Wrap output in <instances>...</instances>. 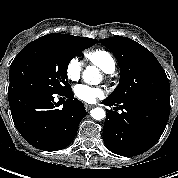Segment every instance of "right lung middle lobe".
Segmentation results:
<instances>
[{
  "label": "right lung middle lobe",
  "instance_id": "1",
  "mask_svg": "<svg viewBox=\"0 0 178 178\" xmlns=\"http://www.w3.org/2000/svg\"><path fill=\"white\" fill-rule=\"evenodd\" d=\"M95 43L86 37H40L30 42L10 66L8 93L20 90L61 93L71 89L66 80L70 60Z\"/></svg>",
  "mask_w": 178,
  "mask_h": 178
}]
</instances>
